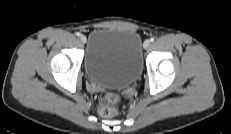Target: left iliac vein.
<instances>
[{"mask_svg":"<svg viewBox=\"0 0 231 134\" xmlns=\"http://www.w3.org/2000/svg\"><path fill=\"white\" fill-rule=\"evenodd\" d=\"M150 46V40H145L143 43V48L147 49Z\"/></svg>","mask_w":231,"mask_h":134,"instance_id":"4c4485c4","label":"left iliac vein"}]
</instances>
